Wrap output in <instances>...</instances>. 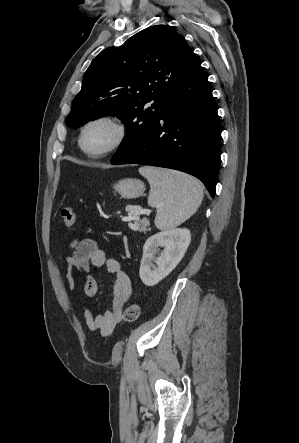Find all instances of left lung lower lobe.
Segmentation results:
<instances>
[{"mask_svg": "<svg viewBox=\"0 0 299 443\" xmlns=\"http://www.w3.org/2000/svg\"><path fill=\"white\" fill-rule=\"evenodd\" d=\"M220 124L206 74L199 64L171 92L153 126L111 164L175 169L200 179L214 197Z\"/></svg>", "mask_w": 299, "mask_h": 443, "instance_id": "0a47b994", "label": "left lung lower lobe"}]
</instances>
